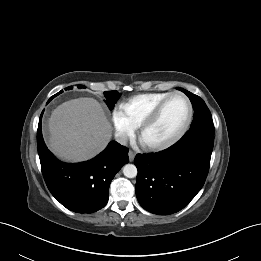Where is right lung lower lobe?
<instances>
[{"label": "right lung lower lobe", "mask_w": 261, "mask_h": 261, "mask_svg": "<svg viewBox=\"0 0 261 261\" xmlns=\"http://www.w3.org/2000/svg\"><path fill=\"white\" fill-rule=\"evenodd\" d=\"M53 97L55 96L50 100ZM42 114L37 130V147L42 174L48 189L71 211L93 213L103 208L109 198L112 179L129 161V150L111 141L103 152L89 161L76 164L63 163L50 153L43 141Z\"/></svg>", "instance_id": "98d812e1"}]
</instances>
